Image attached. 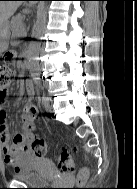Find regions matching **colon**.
Masks as SVG:
<instances>
[{"instance_id":"1","label":"colon","mask_w":137,"mask_h":189,"mask_svg":"<svg viewBox=\"0 0 137 189\" xmlns=\"http://www.w3.org/2000/svg\"><path fill=\"white\" fill-rule=\"evenodd\" d=\"M7 61H11V55L7 54ZM14 80V71L7 63H0V98L5 96V88ZM38 111L37 105L31 103L26 108L28 115H35ZM28 149L37 156H44L47 153L45 140L38 136H29L26 140ZM74 167L73 157L70 152L64 150L58 156V168L61 172H69Z\"/></svg>"}]
</instances>
